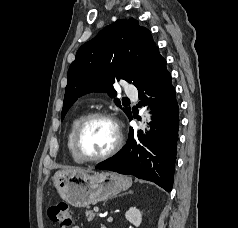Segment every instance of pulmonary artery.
Returning a JSON list of instances; mask_svg holds the SVG:
<instances>
[{
    "instance_id": "1",
    "label": "pulmonary artery",
    "mask_w": 238,
    "mask_h": 228,
    "mask_svg": "<svg viewBox=\"0 0 238 228\" xmlns=\"http://www.w3.org/2000/svg\"><path fill=\"white\" fill-rule=\"evenodd\" d=\"M125 92L129 96H134V95H136L137 90H136V88L134 86L128 85L125 88Z\"/></svg>"
}]
</instances>
